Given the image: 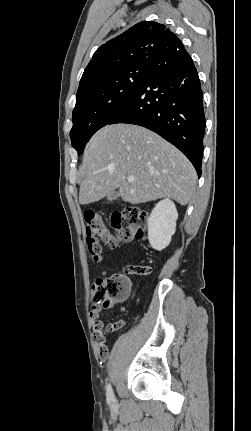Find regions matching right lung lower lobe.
<instances>
[{
	"label": "right lung lower lobe",
	"mask_w": 251,
	"mask_h": 431,
	"mask_svg": "<svg viewBox=\"0 0 251 431\" xmlns=\"http://www.w3.org/2000/svg\"><path fill=\"white\" fill-rule=\"evenodd\" d=\"M146 127L176 146L201 176L206 120L203 93L185 48L150 60L136 90L105 122Z\"/></svg>",
	"instance_id": "right-lung-lower-lobe-1"
}]
</instances>
